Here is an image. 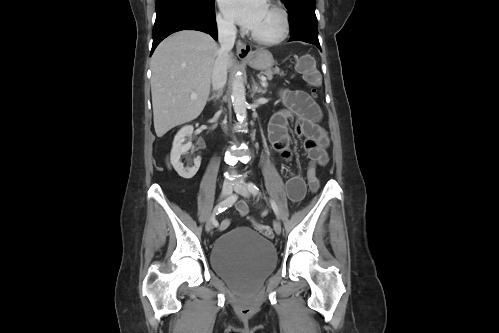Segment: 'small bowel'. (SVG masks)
Instances as JSON below:
<instances>
[{"mask_svg":"<svg viewBox=\"0 0 499 333\" xmlns=\"http://www.w3.org/2000/svg\"><path fill=\"white\" fill-rule=\"evenodd\" d=\"M281 99L286 109L272 116L268 128L269 141L273 149L285 160L291 159L288 122L296 116L294 133L303 140V148L308 158L320 166L326 165L329 137L327 131L320 125L322 112L318 104L301 90H284L281 92ZM286 192L290 200L300 201L305 195V183L302 177L297 174L291 175L286 181ZM236 209L240 216H245L248 212L247 203L242 200L238 201ZM229 223V220L223 221L220 229H226Z\"/></svg>","mask_w":499,"mask_h":333,"instance_id":"c3829d8e","label":"small bowel"}]
</instances>
